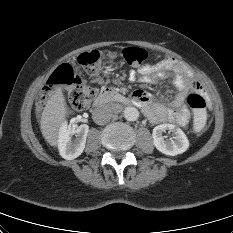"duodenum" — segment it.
Instances as JSON below:
<instances>
[{"label":"duodenum","instance_id":"410a0bca","mask_svg":"<svg viewBox=\"0 0 233 233\" xmlns=\"http://www.w3.org/2000/svg\"><path fill=\"white\" fill-rule=\"evenodd\" d=\"M121 103V104H130L131 101L125 98L123 95L118 93L112 88H103L99 91L95 98L94 104L96 106H101L105 103Z\"/></svg>","mask_w":233,"mask_h":233}]
</instances>
